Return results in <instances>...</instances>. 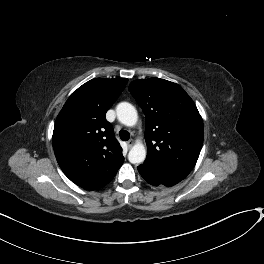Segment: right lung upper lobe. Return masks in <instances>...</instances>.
<instances>
[{
	"label": "right lung upper lobe",
	"instance_id": "right-lung-upper-lobe-1",
	"mask_svg": "<svg viewBox=\"0 0 264 264\" xmlns=\"http://www.w3.org/2000/svg\"><path fill=\"white\" fill-rule=\"evenodd\" d=\"M127 81L92 79L71 94L57 116L52 138L57 162L64 174L84 189L105 186L124 162L105 114Z\"/></svg>",
	"mask_w": 264,
	"mask_h": 264
}]
</instances>
